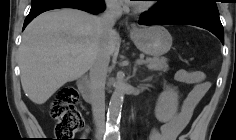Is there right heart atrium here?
Instances as JSON below:
<instances>
[{
	"label": "right heart atrium",
	"instance_id": "obj_1",
	"mask_svg": "<svg viewBox=\"0 0 236 140\" xmlns=\"http://www.w3.org/2000/svg\"><path fill=\"white\" fill-rule=\"evenodd\" d=\"M107 6L113 11H118L121 9L120 4L117 1H113V0L107 1Z\"/></svg>",
	"mask_w": 236,
	"mask_h": 140
}]
</instances>
